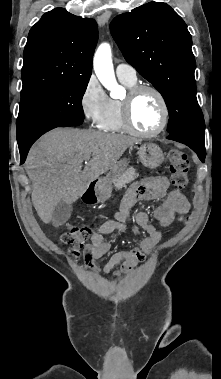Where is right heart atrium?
Returning <instances> with one entry per match:
<instances>
[{"label":"right heart atrium","instance_id":"1","mask_svg":"<svg viewBox=\"0 0 221 379\" xmlns=\"http://www.w3.org/2000/svg\"><path fill=\"white\" fill-rule=\"evenodd\" d=\"M109 99L96 78L90 77L80 97V106L84 117L91 124L98 126L107 112Z\"/></svg>","mask_w":221,"mask_h":379}]
</instances>
